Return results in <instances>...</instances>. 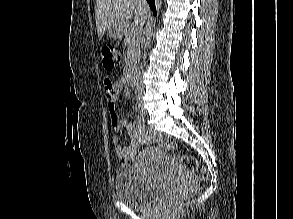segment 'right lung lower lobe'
<instances>
[{"label": "right lung lower lobe", "mask_w": 293, "mask_h": 219, "mask_svg": "<svg viewBox=\"0 0 293 219\" xmlns=\"http://www.w3.org/2000/svg\"><path fill=\"white\" fill-rule=\"evenodd\" d=\"M147 2L149 3L151 10L153 11V14L156 15L155 0H147Z\"/></svg>", "instance_id": "98d812e1"}]
</instances>
